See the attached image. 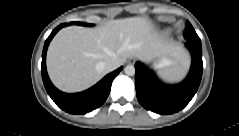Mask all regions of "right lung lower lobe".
Wrapping results in <instances>:
<instances>
[{"instance_id":"obj_1","label":"right lung lower lobe","mask_w":239,"mask_h":136,"mask_svg":"<svg viewBox=\"0 0 239 136\" xmlns=\"http://www.w3.org/2000/svg\"><path fill=\"white\" fill-rule=\"evenodd\" d=\"M64 26H66V23L55 28L45 41L41 63L42 79L47 93L57 106L71 114H85L100 107L105 102L110 93L112 81L122 70V67L106 75L100 82L86 91L75 94H67L59 91L54 87L48 77L46 70V52L54 35Z\"/></svg>"}]
</instances>
